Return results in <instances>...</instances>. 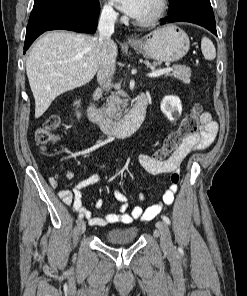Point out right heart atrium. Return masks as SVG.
<instances>
[{
  "label": "right heart atrium",
  "instance_id": "right-heart-atrium-1",
  "mask_svg": "<svg viewBox=\"0 0 247 296\" xmlns=\"http://www.w3.org/2000/svg\"><path fill=\"white\" fill-rule=\"evenodd\" d=\"M101 13L105 18L110 20H114L117 17V12L110 1L104 2L101 8Z\"/></svg>",
  "mask_w": 247,
  "mask_h": 296
}]
</instances>
